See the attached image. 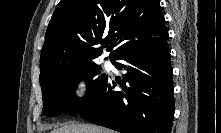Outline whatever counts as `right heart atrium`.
Segmentation results:
<instances>
[{
	"label": "right heart atrium",
	"instance_id": "d8ad5b80",
	"mask_svg": "<svg viewBox=\"0 0 221 133\" xmlns=\"http://www.w3.org/2000/svg\"><path fill=\"white\" fill-rule=\"evenodd\" d=\"M90 92L89 79L84 75H77L71 84V93L78 103L83 102Z\"/></svg>",
	"mask_w": 221,
	"mask_h": 133
}]
</instances>
